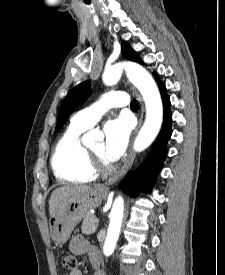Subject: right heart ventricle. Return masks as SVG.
<instances>
[{"mask_svg": "<svg viewBox=\"0 0 225 275\" xmlns=\"http://www.w3.org/2000/svg\"><path fill=\"white\" fill-rule=\"evenodd\" d=\"M86 127L73 123L57 141L51 156L55 176L66 182L87 183L96 178L89 165V156L82 144L81 135Z\"/></svg>", "mask_w": 225, "mask_h": 275, "instance_id": "e07e8e85", "label": "right heart ventricle"}]
</instances>
